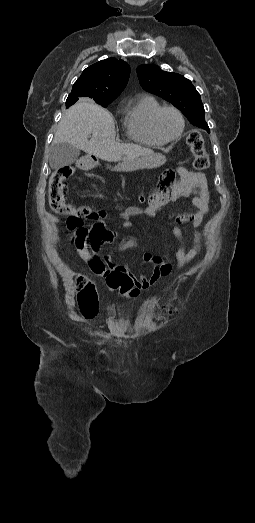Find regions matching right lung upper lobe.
I'll return each mask as SVG.
<instances>
[{
  "label": "right lung upper lobe",
  "mask_w": 255,
  "mask_h": 523,
  "mask_svg": "<svg viewBox=\"0 0 255 523\" xmlns=\"http://www.w3.org/2000/svg\"><path fill=\"white\" fill-rule=\"evenodd\" d=\"M129 74V65L116 58H108L91 65L74 83L66 100V108L79 99L96 103L113 101L126 87Z\"/></svg>",
  "instance_id": "right-lung-upper-lobe-1"
}]
</instances>
